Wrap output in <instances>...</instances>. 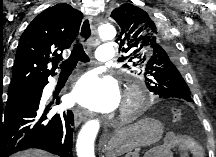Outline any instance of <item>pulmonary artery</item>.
Listing matches in <instances>:
<instances>
[{
  "label": "pulmonary artery",
  "mask_w": 216,
  "mask_h": 157,
  "mask_svg": "<svg viewBox=\"0 0 216 157\" xmlns=\"http://www.w3.org/2000/svg\"><path fill=\"white\" fill-rule=\"evenodd\" d=\"M95 57L98 61L106 62L111 61L115 57V49L113 45H101L97 48Z\"/></svg>",
  "instance_id": "obj_1"
}]
</instances>
